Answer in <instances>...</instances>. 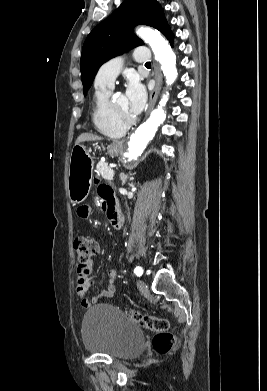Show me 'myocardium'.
Instances as JSON below:
<instances>
[{"label":"myocardium","instance_id":"myocardium-1","mask_svg":"<svg viewBox=\"0 0 267 391\" xmlns=\"http://www.w3.org/2000/svg\"><path fill=\"white\" fill-rule=\"evenodd\" d=\"M108 108H109L110 114H111L112 118L114 119V121L123 127L128 128L136 121L135 117L126 118V117L120 115L117 112V110L115 109V107L113 106L111 101L108 102Z\"/></svg>","mask_w":267,"mask_h":391}]
</instances>
